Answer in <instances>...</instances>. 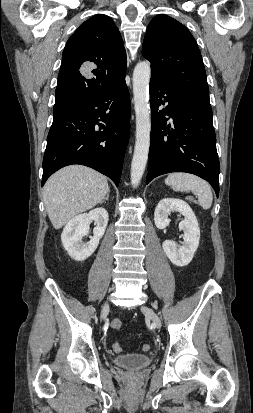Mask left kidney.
Returning a JSON list of instances; mask_svg holds the SVG:
<instances>
[{"label":"left kidney","mask_w":253,"mask_h":413,"mask_svg":"<svg viewBox=\"0 0 253 413\" xmlns=\"http://www.w3.org/2000/svg\"><path fill=\"white\" fill-rule=\"evenodd\" d=\"M179 212L184 216L179 224V229L183 230V243L178 246L174 241L166 240L162 247L169 260L176 266L183 267L188 265L194 256L200 239V229L197 218L184 200L163 198L159 201L154 212V221L158 229H165L169 226L168 215L171 212Z\"/></svg>","instance_id":"obj_1"}]
</instances>
